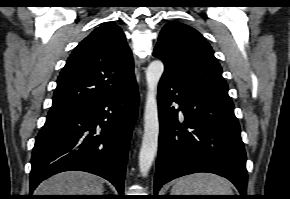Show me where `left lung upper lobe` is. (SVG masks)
I'll use <instances>...</instances> for the list:
<instances>
[{
    "mask_svg": "<svg viewBox=\"0 0 290 199\" xmlns=\"http://www.w3.org/2000/svg\"><path fill=\"white\" fill-rule=\"evenodd\" d=\"M153 55L164 62L163 75L230 98L222 68L211 46L194 28L175 21L167 23L160 32Z\"/></svg>",
    "mask_w": 290,
    "mask_h": 199,
    "instance_id": "left-lung-upper-lobe-1",
    "label": "left lung upper lobe"
}]
</instances>
